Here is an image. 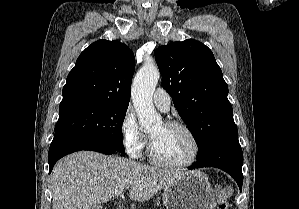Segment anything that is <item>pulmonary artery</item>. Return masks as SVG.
<instances>
[{"label": "pulmonary artery", "mask_w": 299, "mask_h": 209, "mask_svg": "<svg viewBox=\"0 0 299 209\" xmlns=\"http://www.w3.org/2000/svg\"><path fill=\"white\" fill-rule=\"evenodd\" d=\"M153 102L155 106L163 111L167 112L171 105V97L169 93L163 88H157L153 93Z\"/></svg>", "instance_id": "pulmonary-artery-1"}]
</instances>
